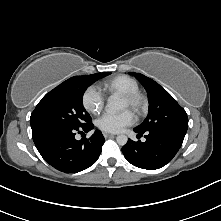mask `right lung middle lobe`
I'll list each match as a JSON object with an SVG mask.
<instances>
[{
    "label": "right lung middle lobe",
    "mask_w": 221,
    "mask_h": 221,
    "mask_svg": "<svg viewBox=\"0 0 221 221\" xmlns=\"http://www.w3.org/2000/svg\"><path fill=\"white\" fill-rule=\"evenodd\" d=\"M111 74L96 73L72 77L47 93L31 114L32 130L44 126L82 127L91 122L84 109L82 98L85 90L96 80Z\"/></svg>",
    "instance_id": "obj_1"
}]
</instances>
